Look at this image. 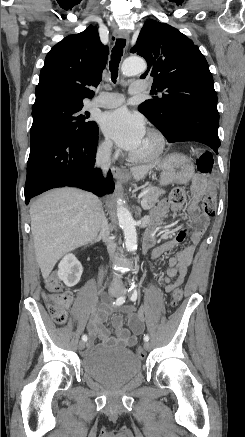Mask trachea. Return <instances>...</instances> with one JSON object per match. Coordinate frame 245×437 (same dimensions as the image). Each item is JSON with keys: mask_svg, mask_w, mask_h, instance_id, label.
I'll list each match as a JSON object with an SVG mask.
<instances>
[{"mask_svg": "<svg viewBox=\"0 0 245 437\" xmlns=\"http://www.w3.org/2000/svg\"><path fill=\"white\" fill-rule=\"evenodd\" d=\"M126 45V40L118 39L116 40L115 46L112 49L111 61L109 69L111 72V80L115 83L118 77V67L123 55V49Z\"/></svg>", "mask_w": 245, "mask_h": 437, "instance_id": "1", "label": "trachea"}]
</instances>
